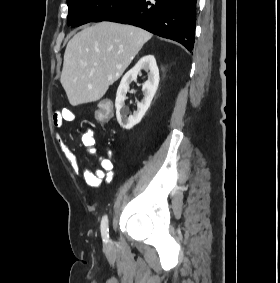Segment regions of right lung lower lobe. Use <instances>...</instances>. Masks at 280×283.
I'll return each instance as SVG.
<instances>
[{
    "instance_id": "1",
    "label": "right lung lower lobe",
    "mask_w": 280,
    "mask_h": 283,
    "mask_svg": "<svg viewBox=\"0 0 280 283\" xmlns=\"http://www.w3.org/2000/svg\"><path fill=\"white\" fill-rule=\"evenodd\" d=\"M197 0H132L105 21L141 27L193 50Z\"/></svg>"
}]
</instances>
